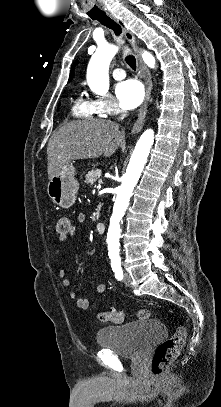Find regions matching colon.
<instances>
[{"label": "colon", "instance_id": "colon-1", "mask_svg": "<svg viewBox=\"0 0 221 407\" xmlns=\"http://www.w3.org/2000/svg\"><path fill=\"white\" fill-rule=\"evenodd\" d=\"M56 231L60 236H67L70 233V221L63 216L57 220ZM152 312L148 309H141L137 312L140 320L150 319ZM98 318L103 322L122 323L125 320V313L114 309L101 311ZM186 337V330L183 326H178L174 334L161 342L154 353L152 363V373L156 376L162 375L171 365L172 361L179 355Z\"/></svg>", "mask_w": 221, "mask_h": 407}]
</instances>
